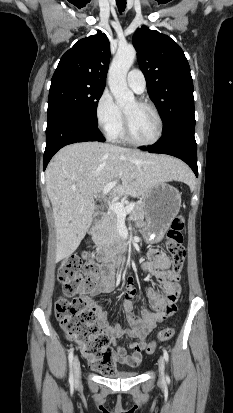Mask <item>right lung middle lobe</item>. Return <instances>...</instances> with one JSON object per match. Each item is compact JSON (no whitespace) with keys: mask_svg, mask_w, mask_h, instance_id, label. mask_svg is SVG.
<instances>
[{"mask_svg":"<svg viewBox=\"0 0 233 413\" xmlns=\"http://www.w3.org/2000/svg\"><path fill=\"white\" fill-rule=\"evenodd\" d=\"M104 87L76 81L52 83L47 116L68 114L98 126L96 108Z\"/></svg>","mask_w":233,"mask_h":413,"instance_id":"1","label":"right lung middle lobe"}]
</instances>
